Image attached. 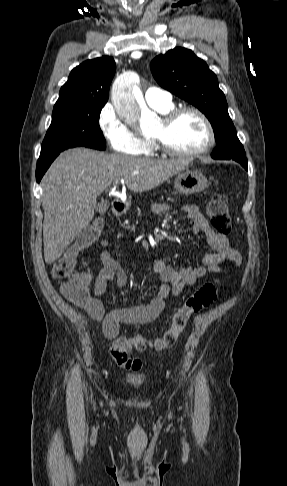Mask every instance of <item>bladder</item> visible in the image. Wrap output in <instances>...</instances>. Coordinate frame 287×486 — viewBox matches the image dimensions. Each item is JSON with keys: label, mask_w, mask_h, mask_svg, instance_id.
<instances>
[{"label": "bladder", "mask_w": 287, "mask_h": 486, "mask_svg": "<svg viewBox=\"0 0 287 486\" xmlns=\"http://www.w3.org/2000/svg\"><path fill=\"white\" fill-rule=\"evenodd\" d=\"M124 381L131 386L138 387L145 383L146 378L142 376L128 375L124 378Z\"/></svg>", "instance_id": "1"}]
</instances>
